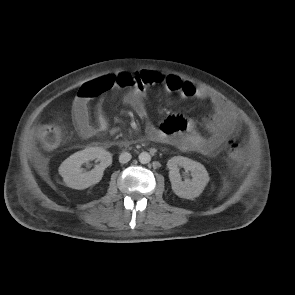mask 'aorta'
Here are the masks:
<instances>
[{
  "label": "aorta",
  "mask_w": 295,
  "mask_h": 295,
  "mask_svg": "<svg viewBox=\"0 0 295 295\" xmlns=\"http://www.w3.org/2000/svg\"><path fill=\"white\" fill-rule=\"evenodd\" d=\"M139 162L142 164H147L151 161V156L147 152H142L139 154Z\"/></svg>",
  "instance_id": "aorta-1"
}]
</instances>
